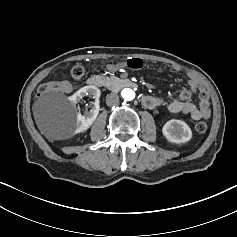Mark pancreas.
<instances>
[{"mask_svg": "<svg viewBox=\"0 0 237 237\" xmlns=\"http://www.w3.org/2000/svg\"><path fill=\"white\" fill-rule=\"evenodd\" d=\"M120 82H121L120 78L115 77V76H110V78L106 79L105 86L108 89L115 90L119 86Z\"/></svg>", "mask_w": 237, "mask_h": 237, "instance_id": "pancreas-1", "label": "pancreas"}]
</instances>
